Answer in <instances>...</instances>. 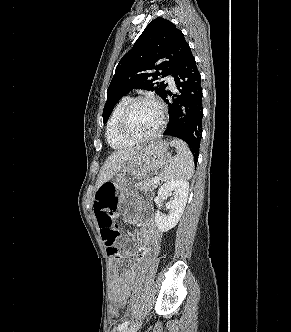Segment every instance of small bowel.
<instances>
[{"label":"small bowel","instance_id":"small-bowel-1","mask_svg":"<svg viewBox=\"0 0 291 332\" xmlns=\"http://www.w3.org/2000/svg\"><path fill=\"white\" fill-rule=\"evenodd\" d=\"M106 189H113V185L110 182H105L101 184L96 192L95 199L97 195ZM94 213L97 217L95 201H94ZM138 236L141 238L143 246L142 252L136 256H132V253L127 249L126 243L129 239L122 244V250L115 259L114 270L117 268V263L120 259H133L134 264L127 269L123 276L116 275L113 278L111 286V298L118 303H124L131 295L136 282V268L137 265L146 260L148 257L155 256L160 251L161 246V233L156 228L152 220H147L143 223Z\"/></svg>","mask_w":291,"mask_h":332}]
</instances>
